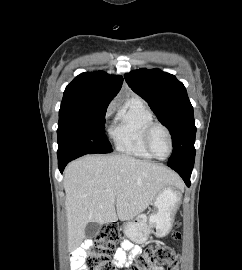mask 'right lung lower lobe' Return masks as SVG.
Here are the masks:
<instances>
[{
    "label": "right lung lower lobe",
    "instance_id": "1",
    "mask_svg": "<svg viewBox=\"0 0 242 270\" xmlns=\"http://www.w3.org/2000/svg\"><path fill=\"white\" fill-rule=\"evenodd\" d=\"M71 160H65V161H61V162H58V165H59V170L60 172L62 173L65 166L68 164V162H70Z\"/></svg>",
    "mask_w": 242,
    "mask_h": 270
}]
</instances>
